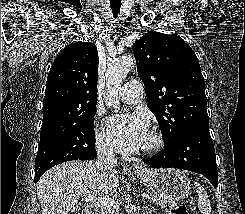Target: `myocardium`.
I'll use <instances>...</instances> for the list:
<instances>
[{
	"instance_id": "f54148a6",
	"label": "myocardium",
	"mask_w": 245,
	"mask_h": 214,
	"mask_svg": "<svg viewBox=\"0 0 245 214\" xmlns=\"http://www.w3.org/2000/svg\"><path fill=\"white\" fill-rule=\"evenodd\" d=\"M151 143L145 149L140 150L141 155H152L157 153L164 145V137L157 131L150 132Z\"/></svg>"
}]
</instances>
